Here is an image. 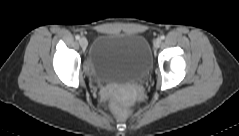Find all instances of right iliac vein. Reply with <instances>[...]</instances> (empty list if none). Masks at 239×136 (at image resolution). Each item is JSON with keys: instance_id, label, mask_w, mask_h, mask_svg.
Wrapping results in <instances>:
<instances>
[{"instance_id": "63e3f726", "label": "right iliac vein", "mask_w": 239, "mask_h": 136, "mask_svg": "<svg viewBox=\"0 0 239 136\" xmlns=\"http://www.w3.org/2000/svg\"><path fill=\"white\" fill-rule=\"evenodd\" d=\"M79 44H80V46H81L82 48H86V47L88 46V41H87L86 38H81V39L79 40Z\"/></svg>"}]
</instances>
